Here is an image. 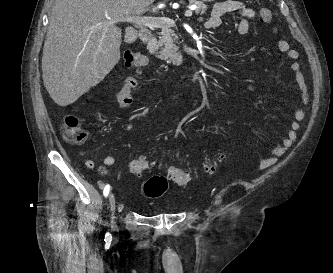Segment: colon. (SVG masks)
<instances>
[{
	"label": "colon",
	"instance_id": "1",
	"mask_svg": "<svg viewBox=\"0 0 333 273\" xmlns=\"http://www.w3.org/2000/svg\"><path fill=\"white\" fill-rule=\"evenodd\" d=\"M259 19L262 24H269L272 20V11L269 8H262L259 12ZM125 66L144 67L148 64V59L139 53L127 51L124 54ZM62 134L64 139L71 144H82L87 139V132L82 127L78 116L74 113L68 114L62 124ZM225 158L221 155L219 160ZM152 163L145 158H137L129 162L128 171L135 177H141L150 167ZM217 167V162H209L204 166L207 173H212ZM168 178L180 186L187 185L192 176L188 171L170 167L168 169ZM168 188V179L162 175L151 176L144 184V193L147 197L156 198L165 193Z\"/></svg>",
	"mask_w": 333,
	"mask_h": 273
}]
</instances>
